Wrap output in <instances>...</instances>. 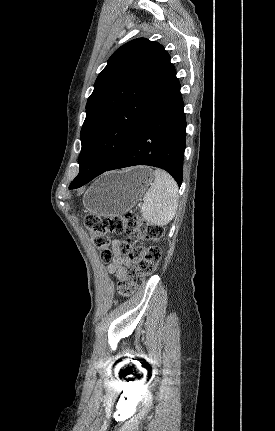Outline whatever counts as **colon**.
I'll return each mask as SVG.
<instances>
[{"label":"colon","instance_id":"obj_1","mask_svg":"<svg viewBox=\"0 0 275 431\" xmlns=\"http://www.w3.org/2000/svg\"><path fill=\"white\" fill-rule=\"evenodd\" d=\"M83 222L104 261H110L113 257L110 234L127 236L119 247V252L128 255L130 262L117 284L120 296H130L146 277L156 271L161 257L160 248L155 244L136 247H131L130 244L135 235L148 242L158 241L164 234L161 225L147 222L135 213L110 216L89 214Z\"/></svg>","mask_w":275,"mask_h":431}]
</instances>
